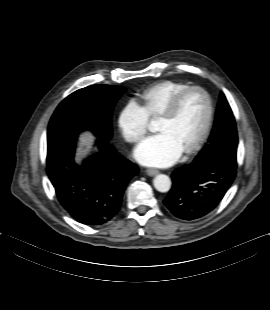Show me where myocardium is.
Returning a JSON list of instances; mask_svg holds the SVG:
<instances>
[{
  "label": "myocardium",
  "mask_w": 270,
  "mask_h": 310,
  "mask_svg": "<svg viewBox=\"0 0 270 310\" xmlns=\"http://www.w3.org/2000/svg\"><path fill=\"white\" fill-rule=\"evenodd\" d=\"M193 91H198L201 92L207 103V113H206V118H205V123L202 128V131L198 135V137L192 142V144L187 147L185 150L182 151L183 154H191L194 151H196L198 148L201 147V145L205 142L207 139V136L210 132L211 126H212V121H213V115H214V107H213V102L211 99L210 94L201 86H188L178 93H176L172 99L169 101L167 106L161 111L159 114V118L164 119V120H169L171 119L176 112L178 111L179 105L183 99V97Z\"/></svg>",
  "instance_id": "1"
}]
</instances>
